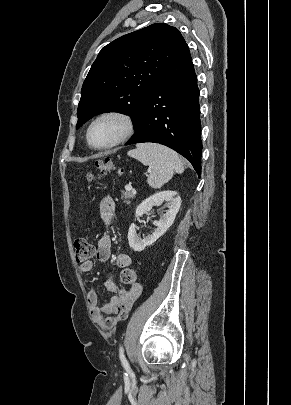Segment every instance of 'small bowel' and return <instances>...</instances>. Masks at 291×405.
Returning <instances> with one entry per match:
<instances>
[{
  "label": "small bowel",
  "mask_w": 291,
  "mask_h": 405,
  "mask_svg": "<svg viewBox=\"0 0 291 405\" xmlns=\"http://www.w3.org/2000/svg\"><path fill=\"white\" fill-rule=\"evenodd\" d=\"M100 215L106 225H111L116 213V204L111 197L101 200ZM112 254V242L108 235L102 236L97 243L95 256L98 261L105 262ZM131 257L126 253H119L116 256V264L120 268H127L131 265ZM93 268V263L87 261L80 264L79 270L82 273H89ZM106 290L113 293L112 298L102 306L98 305V295L96 290L88 292L91 316L94 322L104 330L114 328L119 322L125 320L134 304L142 293V286L134 283L129 289L119 288L112 278L104 281Z\"/></svg>",
  "instance_id": "c3829d8e"
}]
</instances>
